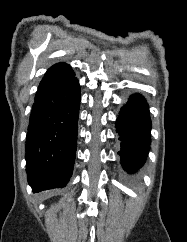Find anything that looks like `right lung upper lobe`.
Returning <instances> with one entry per match:
<instances>
[{"label":"right lung upper lobe","instance_id":"right-lung-upper-lobe-1","mask_svg":"<svg viewBox=\"0 0 187 242\" xmlns=\"http://www.w3.org/2000/svg\"><path fill=\"white\" fill-rule=\"evenodd\" d=\"M74 74L71 66L66 63H57L50 67L42 78L39 87L48 86L56 82L65 80Z\"/></svg>","mask_w":187,"mask_h":242}]
</instances>
